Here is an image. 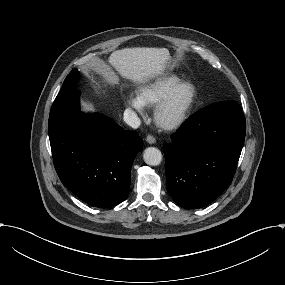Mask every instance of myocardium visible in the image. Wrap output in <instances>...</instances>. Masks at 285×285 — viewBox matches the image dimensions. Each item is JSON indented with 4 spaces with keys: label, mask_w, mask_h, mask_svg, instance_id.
Masks as SVG:
<instances>
[{
    "label": "myocardium",
    "mask_w": 285,
    "mask_h": 285,
    "mask_svg": "<svg viewBox=\"0 0 285 285\" xmlns=\"http://www.w3.org/2000/svg\"><path fill=\"white\" fill-rule=\"evenodd\" d=\"M184 88L191 89V97L187 106L182 113L170 122H163L162 117L164 113L172 105L176 95ZM199 100V88L197 84L191 80H183L176 84L170 91L163 97L154 110V121L162 129L166 131H175L183 127L190 119Z\"/></svg>",
    "instance_id": "myocardium-1"
}]
</instances>
